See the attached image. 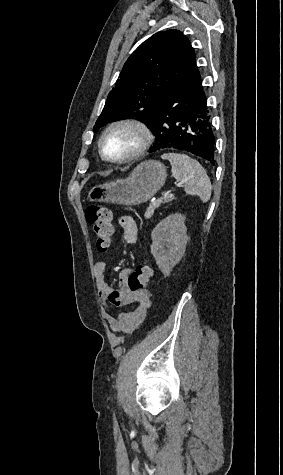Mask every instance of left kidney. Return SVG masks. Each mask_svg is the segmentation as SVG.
Segmentation results:
<instances>
[{"instance_id":"5707ae66","label":"left kidney","mask_w":283,"mask_h":475,"mask_svg":"<svg viewBox=\"0 0 283 475\" xmlns=\"http://www.w3.org/2000/svg\"><path fill=\"white\" fill-rule=\"evenodd\" d=\"M151 238V253H153L159 269L164 273V277H167L185 253L186 243L189 239L185 216L171 214L160 224H157Z\"/></svg>"}]
</instances>
